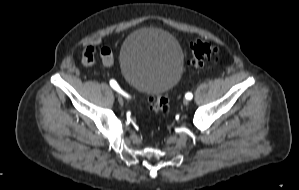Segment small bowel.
I'll return each instance as SVG.
<instances>
[{
	"label": "small bowel",
	"instance_id": "c3829d8e",
	"mask_svg": "<svg viewBox=\"0 0 299 190\" xmlns=\"http://www.w3.org/2000/svg\"><path fill=\"white\" fill-rule=\"evenodd\" d=\"M100 44L99 38L90 40L84 50L83 59L90 56L93 61L98 58L104 65L112 66L115 61L113 52L108 47H100Z\"/></svg>",
	"mask_w": 299,
	"mask_h": 190
}]
</instances>
